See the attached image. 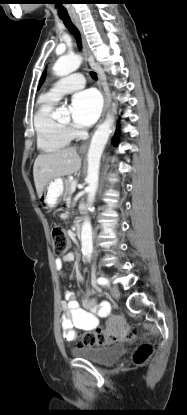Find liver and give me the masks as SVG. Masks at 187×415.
Here are the masks:
<instances>
[{"label": "liver", "instance_id": "1", "mask_svg": "<svg viewBox=\"0 0 187 415\" xmlns=\"http://www.w3.org/2000/svg\"><path fill=\"white\" fill-rule=\"evenodd\" d=\"M80 167L81 160L74 147L38 155L33 166L34 183L38 196L42 195L44 187L50 180L73 174Z\"/></svg>", "mask_w": 187, "mask_h": 415}]
</instances>
